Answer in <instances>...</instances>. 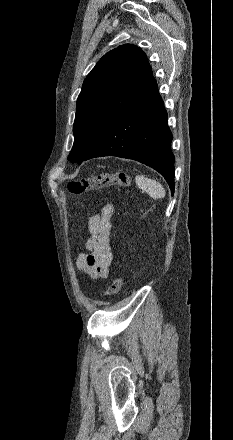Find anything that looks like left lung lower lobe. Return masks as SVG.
<instances>
[{"mask_svg":"<svg viewBox=\"0 0 233 440\" xmlns=\"http://www.w3.org/2000/svg\"><path fill=\"white\" fill-rule=\"evenodd\" d=\"M173 139L167 112L151 76L144 87L122 109L101 142L86 157L117 156L146 164L159 172L174 192Z\"/></svg>","mask_w":233,"mask_h":440,"instance_id":"left-lung-lower-lobe-1","label":"left lung lower lobe"}]
</instances>
